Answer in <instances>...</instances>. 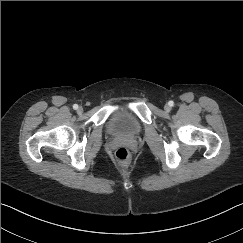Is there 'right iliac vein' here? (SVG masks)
<instances>
[{"label":"right iliac vein","instance_id":"1","mask_svg":"<svg viewBox=\"0 0 243 243\" xmlns=\"http://www.w3.org/2000/svg\"><path fill=\"white\" fill-rule=\"evenodd\" d=\"M82 111H83V108H82V107H79V108L77 109V112H78V113H82Z\"/></svg>","mask_w":243,"mask_h":243}]
</instances>
